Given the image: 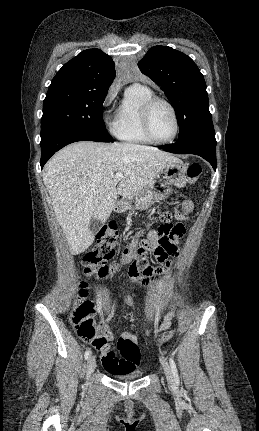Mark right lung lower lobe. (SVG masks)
I'll return each instance as SVG.
<instances>
[{"instance_id":"obj_1","label":"right lung lower lobe","mask_w":259,"mask_h":431,"mask_svg":"<svg viewBox=\"0 0 259 431\" xmlns=\"http://www.w3.org/2000/svg\"><path fill=\"white\" fill-rule=\"evenodd\" d=\"M97 141V142H113L101 138L95 134L82 131L80 129H61L57 130L46 138L41 140V168L49 160V158L64 146L77 141Z\"/></svg>"}]
</instances>
